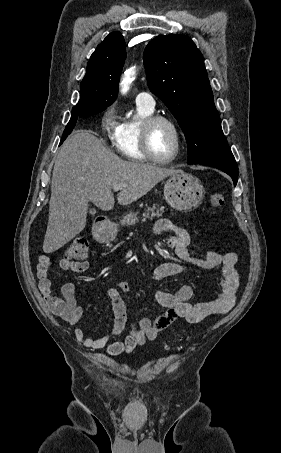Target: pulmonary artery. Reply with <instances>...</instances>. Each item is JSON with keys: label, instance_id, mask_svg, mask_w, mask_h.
<instances>
[{"label": "pulmonary artery", "instance_id": "e3ab8cb5", "mask_svg": "<svg viewBox=\"0 0 281 453\" xmlns=\"http://www.w3.org/2000/svg\"><path fill=\"white\" fill-rule=\"evenodd\" d=\"M136 100L138 102H145L148 107H153L155 104L152 96L145 92L139 93L136 97Z\"/></svg>", "mask_w": 281, "mask_h": 453}]
</instances>
